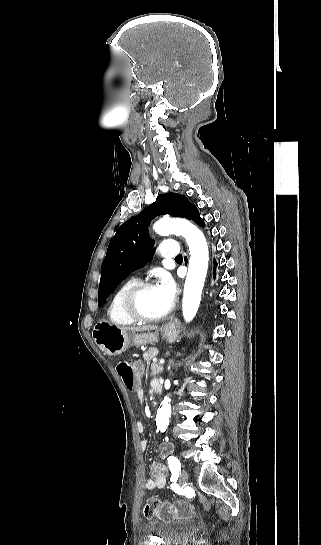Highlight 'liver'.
<instances>
[{
    "label": "liver",
    "instance_id": "6515ba94",
    "mask_svg": "<svg viewBox=\"0 0 321 545\" xmlns=\"http://www.w3.org/2000/svg\"><path fill=\"white\" fill-rule=\"evenodd\" d=\"M118 329H121L123 333H127V331H157L158 327L156 325H143V327H118Z\"/></svg>",
    "mask_w": 321,
    "mask_h": 545
}]
</instances>
